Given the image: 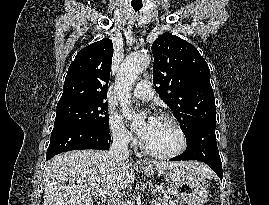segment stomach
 Wrapping results in <instances>:
<instances>
[{"mask_svg": "<svg viewBox=\"0 0 269 205\" xmlns=\"http://www.w3.org/2000/svg\"><path fill=\"white\" fill-rule=\"evenodd\" d=\"M145 173H153L150 166L142 167ZM170 181L171 194L179 203L203 205L208 198V187L202 176L185 168L168 170L164 175Z\"/></svg>", "mask_w": 269, "mask_h": 205, "instance_id": "1", "label": "stomach"}]
</instances>
